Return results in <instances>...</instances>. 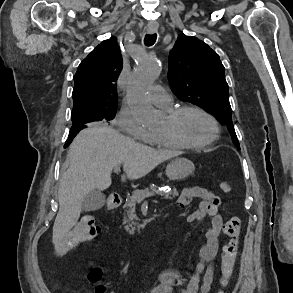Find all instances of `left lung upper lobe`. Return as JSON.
<instances>
[{"label":"left lung upper lobe","instance_id":"left-lung-upper-lobe-1","mask_svg":"<svg viewBox=\"0 0 293 293\" xmlns=\"http://www.w3.org/2000/svg\"><path fill=\"white\" fill-rule=\"evenodd\" d=\"M168 80L181 100L203 108L226 125L233 143L240 148L232 124L225 69L216 52L195 37L179 35L169 55Z\"/></svg>","mask_w":293,"mask_h":293}]
</instances>
